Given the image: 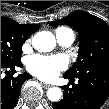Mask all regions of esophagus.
Instances as JSON below:
<instances>
[{
	"label": "esophagus",
	"instance_id": "obj_1",
	"mask_svg": "<svg viewBox=\"0 0 109 109\" xmlns=\"http://www.w3.org/2000/svg\"><path fill=\"white\" fill-rule=\"evenodd\" d=\"M43 87H44L45 89H48V88H50V87H51V85H48V84H43Z\"/></svg>",
	"mask_w": 109,
	"mask_h": 109
}]
</instances>
